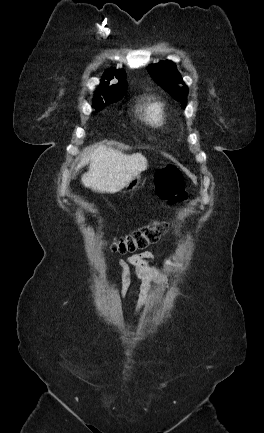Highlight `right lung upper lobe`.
<instances>
[{"instance_id": "cb5924a9", "label": "right lung upper lobe", "mask_w": 264, "mask_h": 433, "mask_svg": "<svg viewBox=\"0 0 264 433\" xmlns=\"http://www.w3.org/2000/svg\"><path fill=\"white\" fill-rule=\"evenodd\" d=\"M116 77L119 82L117 84L109 85L110 80ZM126 73L124 70H106L101 80V88L95 92L94 101H110L117 98H122L127 90Z\"/></svg>"}]
</instances>
